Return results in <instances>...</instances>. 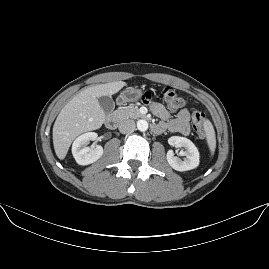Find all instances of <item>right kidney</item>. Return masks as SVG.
<instances>
[{"label":"right kidney","mask_w":269,"mask_h":269,"mask_svg":"<svg viewBox=\"0 0 269 269\" xmlns=\"http://www.w3.org/2000/svg\"><path fill=\"white\" fill-rule=\"evenodd\" d=\"M98 137L96 132H87L78 136L72 144V155L76 162L81 165H87L95 162L102 154L103 147L96 145L92 150L89 149L88 141H94Z\"/></svg>","instance_id":"1"}]
</instances>
